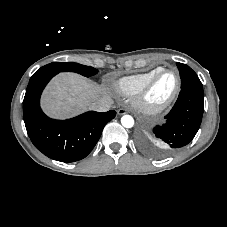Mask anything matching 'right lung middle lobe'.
Here are the masks:
<instances>
[{"instance_id": "dd1d6c3e", "label": "right lung middle lobe", "mask_w": 227, "mask_h": 227, "mask_svg": "<svg viewBox=\"0 0 227 227\" xmlns=\"http://www.w3.org/2000/svg\"><path fill=\"white\" fill-rule=\"evenodd\" d=\"M59 72H76L85 77H90L97 74L98 70L90 66H85L73 62H53L41 67L33 76L44 73L57 74Z\"/></svg>"}]
</instances>
